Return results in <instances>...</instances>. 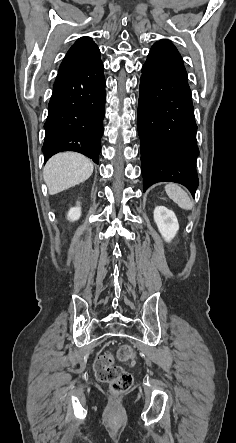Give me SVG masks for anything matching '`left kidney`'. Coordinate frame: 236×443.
I'll list each match as a JSON object with an SVG mask.
<instances>
[{"label":"left kidney","mask_w":236,"mask_h":443,"mask_svg":"<svg viewBox=\"0 0 236 443\" xmlns=\"http://www.w3.org/2000/svg\"><path fill=\"white\" fill-rule=\"evenodd\" d=\"M154 221L159 232L166 242H170L179 230V224L173 211L164 206H157L154 210Z\"/></svg>","instance_id":"left-kidney-1"}]
</instances>
